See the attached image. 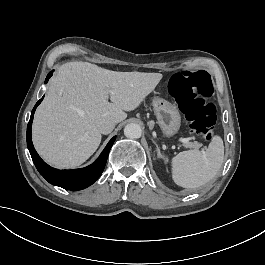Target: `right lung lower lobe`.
I'll list each match as a JSON object with an SVG mask.
<instances>
[{
  "instance_id": "right-lung-lower-lobe-1",
  "label": "right lung lower lobe",
  "mask_w": 265,
  "mask_h": 265,
  "mask_svg": "<svg viewBox=\"0 0 265 265\" xmlns=\"http://www.w3.org/2000/svg\"><path fill=\"white\" fill-rule=\"evenodd\" d=\"M53 71L48 73L45 82L52 76ZM44 96L36 103L31 112L30 121L27 126V146L31 154L32 160L39 171V173L51 184L62 187L67 190H82L92 185L101 175L105 167L109 151L116 139L113 137L99 158L90 166L82 169L74 170H58L47 165L35 151L31 140V126L33 121V115L36 107L41 103Z\"/></svg>"
}]
</instances>
